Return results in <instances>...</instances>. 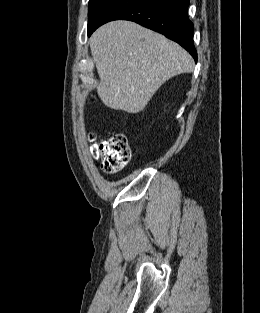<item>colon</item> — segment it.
<instances>
[{"instance_id":"1","label":"colon","mask_w":260,"mask_h":313,"mask_svg":"<svg viewBox=\"0 0 260 313\" xmlns=\"http://www.w3.org/2000/svg\"><path fill=\"white\" fill-rule=\"evenodd\" d=\"M89 140L93 142L91 146L92 155L101 159L104 173L116 174L128 164L131 149L125 134H113L108 139L98 143L95 142V135L90 134Z\"/></svg>"}]
</instances>
